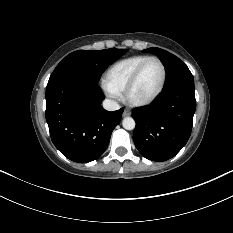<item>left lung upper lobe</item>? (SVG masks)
<instances>
[{"label":"left lung upper lobe","instance_id":"5c2ea615","mask_svg":"<svg viewBox=\"0 0 233 233\" xmlns=\"http://www.w3.org/2000/svg\"><path fill=\"white\" fill-rule=\"evenodd\" d=\"M144 51L156 54L165 66L167 79L164 89L180 84H194L193 75L190 70L186 64L175 55L160 48H149Z\"/></svg>","mask_w":233,"mask_h":233}]
</instances>
